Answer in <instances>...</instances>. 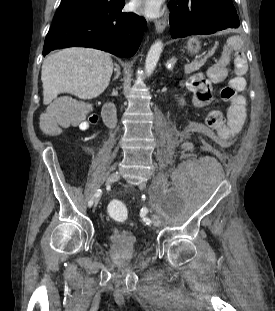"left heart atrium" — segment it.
I'll list each match as a JSON object with an SVG mask.
<instances>
[{"instance_id": "left-heart-atrium-1", "label": "left heart atrium", "mask_w": 275, "mask_h": 311, "mask_svg": "<svg viewBox=\"0 0 275 311\" xmlns=\"http://www.w3.org/2000/svg\"><path fill=\"white\" fill-rule=\"evenodd\" d=\"M163 0H134L133 6L140 13L149 17H156L162 12Z\"/></svg>"}]
</instances>
